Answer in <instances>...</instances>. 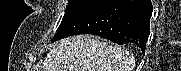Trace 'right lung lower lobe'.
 I'll use <instances>...</instances> for the list:
<instances>
[{
    "label": "right lung lower lobe",
    "mask_w": 181,
    "mask_h": 71,
    "mask_svg": "<svg viewBox=\"0 0 181 71\" xmlns=\"http://www.w3.org/2000/svg\"><path fill=\"white\" fill-rule=\"evenodd\" d=\"M152 10L151 0H94L57 30L52 42L76 34H94L117 44H135L144 54Z\"/></svg>",
    "instance_id": "obj_1"
}]
</instances>
